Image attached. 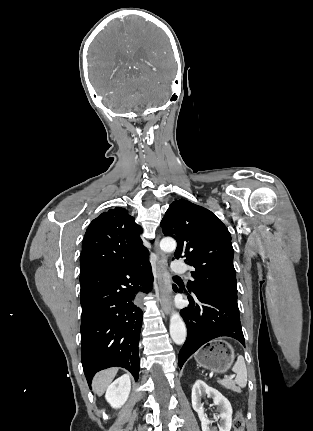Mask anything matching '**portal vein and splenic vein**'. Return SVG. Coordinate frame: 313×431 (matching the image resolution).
Returning a JSON list of instances; mask_svg holds the SVG:
<instances>
[{"instance_id":"1","label":"portal vein and splenic vein","mask_w":313,"mask_h":431,"mask_svg":"<svg viewBox=\"0 0 313 431\" xmlns=\"http://www.w3.org/2000/svg\"><path fill=\"white\" fill-rule=\"evenodd\" d=\"M232 378H233V376H230L229 380H232ZM219 382H220V383H224V382H225V380H224V379H221V380H219Z\"/></svg>"}]
</instances>
